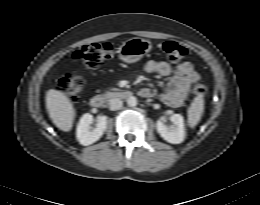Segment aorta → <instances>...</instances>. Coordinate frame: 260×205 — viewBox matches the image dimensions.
Segmentation results:
<instances>
[{
    "label": "aorta",
    "instance_id": "aorta-1",
    "mask_svg": "<svg viewBox=\"0 0 260 205\" xmlns=\"http://www.w3.org/2000/svg\"><path fill=\"white\" fill-rule=\"evenodd\" d=\"M127 104L131 107H134L137 105V98L134 97V96H130L128 99H127Z\"/></svg>",
    "mask_w": 260,
    "mask_h": 205
}]
</instances>
